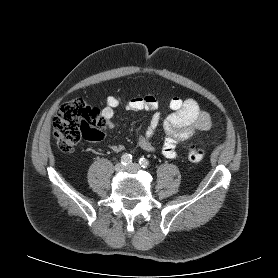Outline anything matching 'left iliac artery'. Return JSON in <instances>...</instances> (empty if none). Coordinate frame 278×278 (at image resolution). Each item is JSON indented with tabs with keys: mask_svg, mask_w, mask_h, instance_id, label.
<instances>
[{
	"mask_svg": "<svg viewBox=\"0 0 278 278\" xmlns=\"http://www.w3.org/2000/svg\"><path fill=\"white\" fill-rule=\"evenodd\" d=\"M139 164L141 165V167L147 168L149 166V161L146 158H140Z\"/></svg>",
	"mask_w": 278,
	"mask_h": 278,
	"instance_id": "obj_1",
	"label": "left iliac artery"
}]
</instances>
